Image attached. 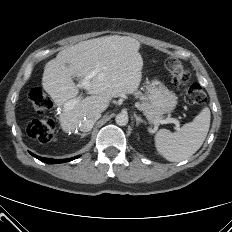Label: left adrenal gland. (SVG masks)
<instances>
[{"label":"left adrenal gland","instance_id":"1","mask_svg":"<svg viewBox=\"0 0 232 232\" xmlns=\"http://www.w3.org/2000/svg\"><path fill=\"white\" fill-rule=\"evenodd\" d=\"M134 117L136 119V126H139L140 123H146L144 120L141 119V117L134 114Z\"/></svg>","mask_w":232,"mask_h":232}]
</instances>
